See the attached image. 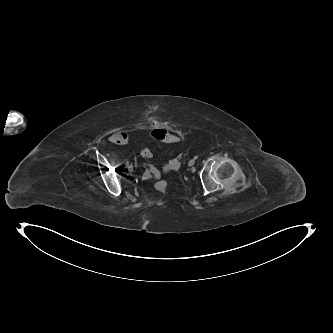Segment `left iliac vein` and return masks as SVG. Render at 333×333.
<instances>
[{
  "label": "left iliac vein",
  "mask_w": 333,
  "mask_h": 333,
  "mask_svg": "<svg viewBox=\"0 0 333 333\" xmlns=\"http://www.w3.org/2000/svg\"><path fill=\"white\" fill-rule=\"evenodd\" d=\"M195 164V160L194 159H192V160H190L189 162H188V165L189 166H193Z\"/></svg>",
  "instance_id": "4c4485c4"
}]
</instances>
